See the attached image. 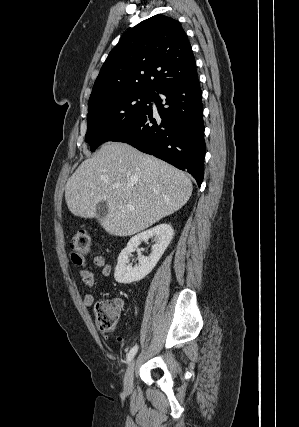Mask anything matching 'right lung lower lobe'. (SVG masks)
I'll return each mask as SVG.
<instances>
[{
  "mask_svg": "<svg viewBox=\"0 0 299 427\" xmlns=\"http://www.w3.org/2000/svg\"><path fill=\"white\" fill-rule=\"evenodd\" d=\"M152 100L160 120L153 118L150 103L137 122L111 141L128 143L188 171L200 186L204 176L205 141L202 93L197 74L188 80L162 86L154 92Z\"/></svg>",
  "mask_w": 299,
  "mask_h": 427,
  "instance_id": "obj_1",
  "label": "right lung lower lobe"
}]
</instances>
